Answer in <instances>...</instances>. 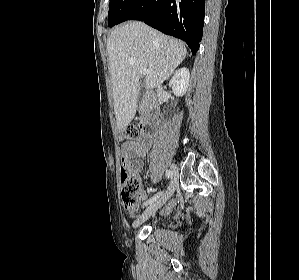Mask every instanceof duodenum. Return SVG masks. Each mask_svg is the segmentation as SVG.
Returning <instances> with one entry per match:
<instances>
[{"label": "duodenum", "instance_id": "410a0bca", "mask_svg": "<svg viewBox=\"0 0 299 280\" xmlns=\"http://www.w3.org/2000/svg\"><path fill=\"white\" fill-rule=\"evenodd\" d=\"M142 128L146 133H153L158 125V99L153 93H146L142 103Z\"/></svg>", "mask_w": 299, "mask_h": 280}]
</instances>
